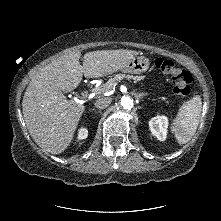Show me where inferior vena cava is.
I'll use <instances>...</instances> for the list:
<instances>
[{
	"mask_svg": "<svg viewBox=\"0 0 221 221\" xmlns=\"http://www.w3.org/2000/svg\"><path fill=\"white\" fill-rule=\"evenodd\" d=\"M111 103V99L107 98V97H103V98H99L96 102H95V107L98 109H105L107 108Z\"/></svg>",
	"mask_w": 221,
	"mask_h": 221,
	"instance_id": "obj_1",
	"label": "inferior vena cava"
}]
</instances>
